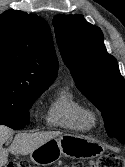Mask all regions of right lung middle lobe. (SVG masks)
Wrapping results in <instances>:
<instances>
[{
	"mask_svg": "<svg viewBox=\"0 0 125 167\" xmlns=\"http://www.w3.org/2000/svg\"><path fill=\"white\" fill-rule=\"evenodd\" d=\"M46 89L34 92H16L0 89V124L22 129L29 124V109Z\"/></svg>",
	"mask_w": 125,
	"mask_h": 167,
	"instance_id": "1",
	"label": "right lung middle lobe"
}]
</instances>
